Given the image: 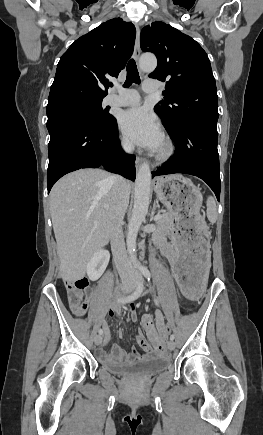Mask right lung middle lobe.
Listing matches in <instances>:
<instances>
[{"label":"right lung middle lobe","instance_id":"1","mask_svg":"<svg viewBox=\"0 0 263 435\" xmlns=\"http://www.w3.org/2000/svg\"><path fill=\"white\" fill-rule=\"evenodd\" d=\"M101 103L102 99H90L47 106V125L56 119L73 116L89 118L100 124L107 123L113 116L103 110Z\"/></svg>","mask_w":263,"mask_h":435}]
</instances>
